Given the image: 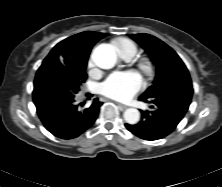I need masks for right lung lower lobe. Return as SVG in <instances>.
<instances>
[{
  "label": "right lung lower lobe",
  "mask_w": 222,
  "mask_h": 187,
  "mask_svg": "<svg viewBox=\"0 0 222 187\" xmlns=\"http://www.w3.org/2000/svg\"><path fill=\"white\" fill-rule=\"evenodd\" d=\"M79 91L78 83L59 62L38 70L33 101L40 120L54 136L61 139L76 138L97 119L102 102L94 99L88 108H81L83 103L76 104L75 101Z\"/></svg>",
  "instance_id": "1"
}]
</instances>
